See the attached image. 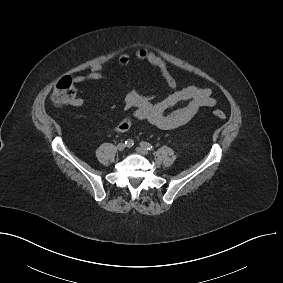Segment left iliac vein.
Returning a JSON list of instances; mask_svg holds the SVG:
<instances>
[{
    "instance_id": "obj_1",
    "label": "left iliac vein",
    "mask_w": 283,
    "mask_h": 283,
    "mask_svg": "<svg viewBox=\"0 0 283 283\" xmlns=\"http://www.w3.org/2000/svg\"><path fill=\"white\" fill-rule=\"evenodd\" d=\"M136 152L141 154V155H147L148 154V151L143 147H137Z\"/></svg>"
}]
</instances>
